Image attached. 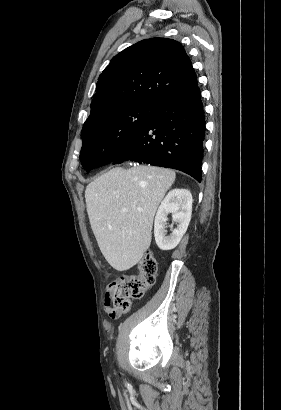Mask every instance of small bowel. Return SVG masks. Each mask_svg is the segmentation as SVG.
I'll use <instances>...</instances> for the list:
<instances>
[{"mask_svg": "<svg viewBox=\"0 0 281 410\" xmlns=\"http://www.w3.org/2000/svg\"><path fill=\"white\" fill-rule=\"evenodd\" d=\"M104 306H105V311H106L109 315H111V313H112L113 310H112V308L110 307V299H109L108 296H106V298H105Z\"/></svg>", "mask_w": 281, "mask_h": 410, "instance_id": "c3829d8e", "label": "small bowel"}]
</instances>
